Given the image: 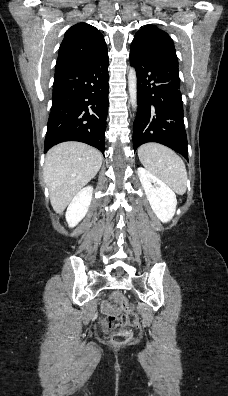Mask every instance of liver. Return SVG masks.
Segmentation results:
<instances>
[{"label":"liver","instance_id":"1","mask_svg":"<svg viewBox=\"0 0 228 396\" xmlns=\"http://www.w3.org/2000/svg\"><path fill=\"white\" fill-rule=\"evenodd\" d=\"M102 160L100 151L81 142H64L48 151L43 177L56 213L63 212L73 197L95 177Z\"/></svg>","mask_w":228,"mask_h":396}]
</instances>
